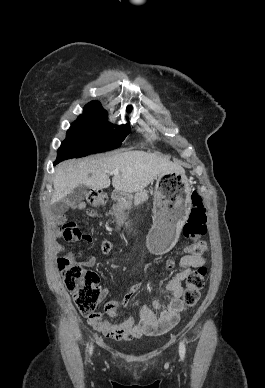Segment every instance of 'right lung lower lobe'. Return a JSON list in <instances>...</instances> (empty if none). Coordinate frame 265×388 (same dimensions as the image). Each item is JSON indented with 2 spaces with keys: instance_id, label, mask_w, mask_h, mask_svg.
<instances>
[{
  "instance_id": "1",
  "label": "right lung lower lobe",
  "mask_w": 265,
  "mask_h": 388,
  "mask_svg": "<svg viewBox=\"0 0 265 388\" xmlns=\"http://www.w3.org/2000/svg\"><path fill=\"white\" fill-rule=\"evenodd\" d=\"M60 161H62V160H60V159L57 158V160L54 162V165H55L56 163L60 162Z\"/></svg>"
}]
</instances>
